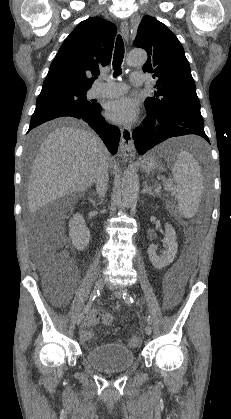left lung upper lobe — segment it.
I'll return each mask as SVG.
<instances>
[{
    "label": "left lung upper lobe",
    "mask_w": 231,
    "mask_h": 419,
    "mask_svg": "<svg viewBox=\"0 0 231 419\" xmlns=\"http://www.w3.org/2000/svg\"><path fill=\"white\" fill-rule=\"evenodd\" d=\"M134 45L148 53L143 66L153 74L157 89L145 101L151 111L168 110L182 106H200L194 79L184 49L177 37L160 21L143 17Z\"/></svg>",
    "instance_id": "left-lung-upper-lobe-1"
}]
</instances>
